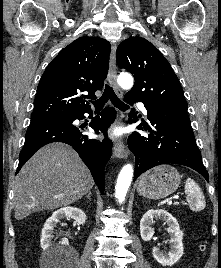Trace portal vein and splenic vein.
Listing matches in <instances>:
<instances>
[{"mask_svg":"<svg viewBox=\"0 0 221 268\" xmlns=\"http://www.w3.org/2000/svg\"><path fill=\"white\" fill-rule=\"evenodd\" d=\"M178 203V202H177ZM173 204V201H172V199H170L169 201H168V205H172Z\"/></svg>","mask_w":221,"mask_h":268,"instance_id":"1","label":"portal vein and splenic vein"}]
</instances>
